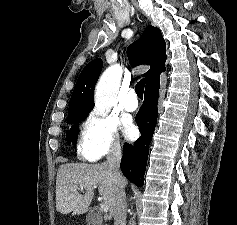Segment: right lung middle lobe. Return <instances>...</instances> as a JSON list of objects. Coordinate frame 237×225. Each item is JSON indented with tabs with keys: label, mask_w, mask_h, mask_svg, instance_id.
Instances as JSON below:
<instances>
[{
	"label": "right lung middle lobe",
	"mask_w": 237,
	"mask_h": 225,
	"mask_svg": "<svg viewBox=\"0 0 237 225\" xmlns=\"http://www.w3.org/2000/svg\"><path fill=\"white\" fill-rule=\"evenodd\" d=\"M88 112L85 111H71L68 113V124H73L70 130L66 133V140L70 143H75L77 139V134L79 132L78 123L84 120L88 116Z\"/></svg>",
	"instance_id": "dd1d6c3e"
}]
</instances>
